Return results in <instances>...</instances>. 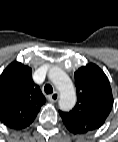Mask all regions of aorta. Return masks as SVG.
Instances as JSON below:
<instances>
[{
	"instance_id": "1",
	"label": "aorta",
	"mask_w": 118,
	"mask_h": 142,
	"mask_svg": "<svg viewBox=\"0 0 118 142\" xmlns=\"http://www.w3.org/2000/svg\"><path fill=\"white\" fill-rule=\"evenodd\" d=\"M48 76L60 92L59 108L63 111L71 110L76 104V91L69 76L57 67L51 68Z\"/></svg>"
}]
</instances>
